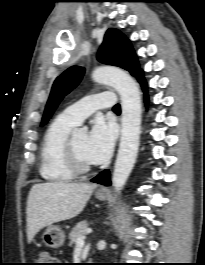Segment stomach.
Listing matches in <instances>:
<instances>
[{"instance_id": "1", "label": "stomach", "mask_w": 205, "mask_h": 265, "mask_svg": "<svg viewBox=\"0 0 205 265\" xmlns=\"http://www.w3.org/2000/svg\"><path fill=\"white\" fill-rule=\"evenodd\" d=\"M95 196L100 201L105 200L107 197L106 193L98 192L95 194ZM42 238L47 246L52 248H58L63 245L65 241V234L59 226L50 225L44 232Z\"/></svg>"}]
</instances>
